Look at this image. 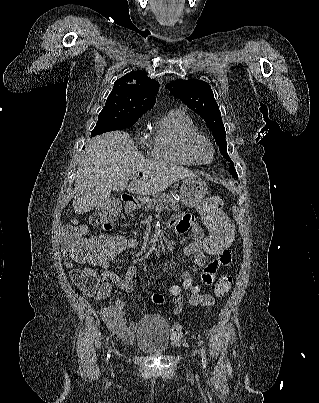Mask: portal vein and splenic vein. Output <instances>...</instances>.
Returning <instances> with one entry per match:
<instances>
[{
    "label": "portal vein and splenic vein",
    "instance_id": "portal-vein-and-splenic-vein-1",
    "mask_svg": "<svg viewBox=\"0 0 319 403\" xmlns=\"http://www.w3.org/2000/svg\"><path fill=\"white\" fill-rule=\"evenodd\" d=\"M166 208H168V206L157 207L156 209H157V210H161V209H166Z\"/></svg>",
    "mask_w": 319,
    "mask_h": 403
}]
</instances>
